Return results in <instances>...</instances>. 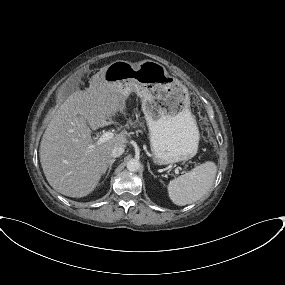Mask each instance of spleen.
I'll return each instance as SVG.
<instances>
[{"label":"spleen","mask_w":285,"mask_h":285,"mask_svg":"<svg viewBox=\"0 0 285 285\" xmlns=\"http://www.w3.org/2000/svg\"><path fill=\"white\" fill-rule=\"evenodd\" d=\"M217 166L212 161L196 166L191 171L171 180L167 185L171 201L179 206L201 199L212 187Z\"/></svg>","instance_id":"obj_1"}]
</instances>
